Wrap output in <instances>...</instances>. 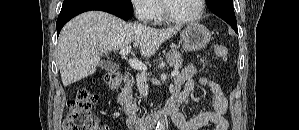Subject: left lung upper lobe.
<instances>
[{"instance_id": "5c2ea615", "label": "left lung upper lobe", "mask_w": 299, "mask_h": 130, "mask_svg": "<svg viewBox=\"0 0 299 130\" xmlns=\"http://www.w3.org/2000/svg\"><path fill=\"white\" fill-rule=\"evenodd\" d=\"M210 0H206V2L208 3Z\"/></svg>"}]
</instances>
